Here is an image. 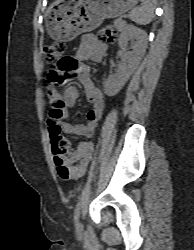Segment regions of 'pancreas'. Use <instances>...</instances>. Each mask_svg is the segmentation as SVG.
Masks as SVG:
<instances>
[{"label":"pancreas","mask_w":194,"mask_h":250,"mask_svg":"<svg viewBox=\"0 0 194 250\" xmlns=\"http://www.w3.org/2000/svg\"><path fill=\"white\" fill-rule=\"evenodd\" d=\"M114 27L118 30V31H121V30H123L124 29V27H125V22L124 21H122V19H116L115 21H114Z\"/></svg>","instance_id":"obj_1"}]
</instances>
